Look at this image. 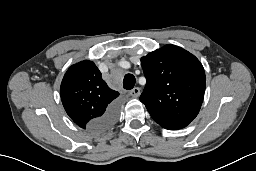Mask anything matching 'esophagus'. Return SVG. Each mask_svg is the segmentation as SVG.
Returning a JSON list of instances; mask_svg holds the SVG:
<instances>
[{"instance_id": "1", "label": "esophagus", "mask_w": 256, "mask_h": 171, "mask_svg": "<svg viewBox=\"0 0 256 171\" xmlns=\"http://www.w3.org/2000/svg\"><path fill=\"white\" fill-rule=\"evenodd\" d=\"M130 96H132L133 98H137L140 95V88L135 87L133 88L130 92H129Z\"/></svg>"}]
</instances>
